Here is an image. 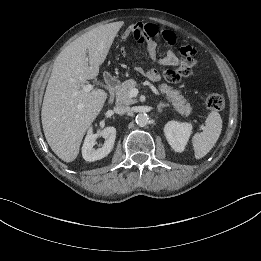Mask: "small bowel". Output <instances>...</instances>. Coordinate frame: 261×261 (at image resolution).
<instances>
[{
	"label": "small bowel",
	"mask_w": 261,
	"mask_h": 261,
	"mask_svg": "<svg viewBox=\"0 0 261 261\" xmlns=\"http://www.w3.org/2000/svg\"><path fill=\"white\" fill-rule=\"evenodd\" d=\"M138 25H140V23L134 25L135 32L130 36H133L138 43H142L146 45L147 54L153 62L157 63L160 66L175 68V69L166 70V71H170L173 76V80H168V81L178 82L181 78L189 77L192 74L193 69L195 67V60H194L195 49L193 47L181 46L179 48V55H177L172 49H168L163 57H158L157 55L158 46L155 39L160 37L164 39L166 42L167 35L169 34L175 35V33L169 30L160 29V33L157 36H152V35L144 36L138 34L137 32ZM175 45L176 44L169 45V46L174 47ZM147 75L154 82L160 79V75L155 69L148 70Z\"/></svg>",
	"instance_id": "obj_1"
}]
</instances>
